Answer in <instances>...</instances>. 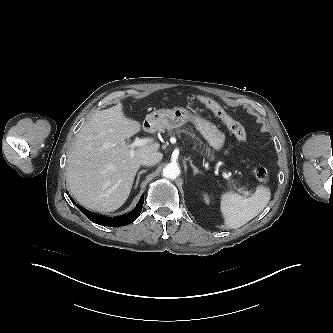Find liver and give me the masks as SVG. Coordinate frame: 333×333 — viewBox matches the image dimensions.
I'll return each mask as SVG.
<instances>
[{
	"label": "liver",
	"mask_w": 333,
	"mask_h": 333,
	"mask_svg": "<svg viewBox=\"0 0 333 333\" xmlns=\"http://www.w3.org/2000/svg\"><path fill=\"white\" fill-rule=\"evenodd\" d=\"M141 130L124 115L123 106L95 112L76 135L67 159V183L84 207L112 212L127 200L141 158L159 150V143L131 151L126 140Z\"/></svg>",
	"instance_id": "6515ba94"
}]
</instances>
